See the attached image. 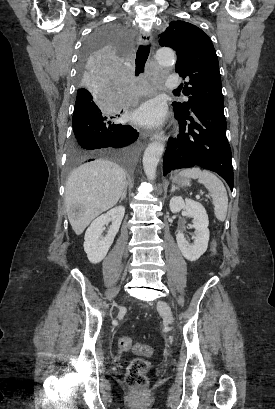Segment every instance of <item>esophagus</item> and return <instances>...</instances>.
Segmentation results:
<instances>
[{
  "label": "esophagus",
  "instance_id": "1",
  "mask_svg": "<svg viewBox=\"0 0 275 409\" xmlns=\"http://www.w3.org/2000/svg\"><path fill=\"white\" fill-rule=\"evenodd\" d=\"M151 40H152V35L150 32H145V31L140 32L139 42L142 45H148L151 42ZM151 139L165 141L167 140V135L165 134L164 130L159 129L156 132H154V134L151 136Z\"/></svg>",
  "mask_w": 275,
  "mask_h": 409
}]
</instances>
